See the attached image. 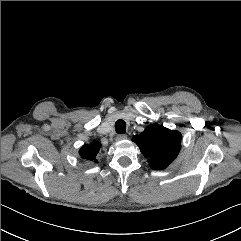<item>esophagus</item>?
Wrapping results in <instances>:
<instances>
[{"instance_id": "esophagus-1", "label": "esophagus", "mask_w": 241, "mask_h": 241, "mask_svg": "<svg viewBox=\"0 0 241 241\" xmlns=\"http://www.w3.org/2000/svg\"><path fill=\"white\" fill-rule=\"evenodd\" d=\"M127 138V135L126 134H119L116 139L118 141H121V140H125Z\"/></svg>"}]
</instances>
